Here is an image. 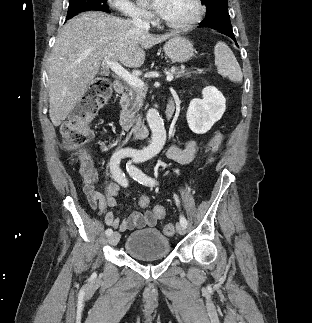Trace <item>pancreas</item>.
Segmentation results:
<instances>
[{"mask_svg": "<svg viewBox=\"0 0 312 323\" xmlns=\"http://www.w3.org/2000/svg\"><path fill=\"white\" fill-rule=\"evenodd\" d=\"M176 72H173V74H176L175 78H182V76H190L192 72H186V70H179V68H175ZM128 94H123L120 104L123 108V110H127L128 114H131V116H134L140 108L143 106L144 98L146 96V88H135V86H129V88H126Z\"/></svg>", "mask_w": 312, "mask_h": 323, "instance_id": "cf45deb5", "label": "pancreas"}]
</instances>
